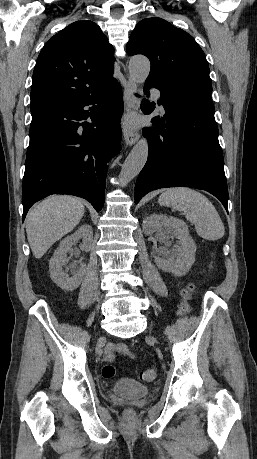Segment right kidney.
Here are the masks:
<instances>
[{"label": "right kidney", "mask_w": 257, "mask_h": 459, "mask_svg": "<svg viewBox=\"0 0 257 459\" xmlns=\"http://www.w3.org/2000/svg\"><path fill=\"white\" fill-rule=\"evenodd\" d=\"M80 239L82 240L80 245L81 250L88 252L91 248L93 239L91 226L83 225L78 228L76 232L63 239L49 262L51 279L65 291H73L76 289L81 284L85 273V265L82 263H80V268L77 270L73 265L66 268L65 271L63 270V267L68 262L67 254L71 251V247ZM68 271H71L72 277H69L67 274Z\"/></svg>", "instance_id": "1"}]
</instances>
